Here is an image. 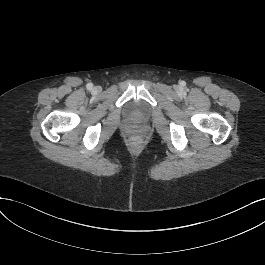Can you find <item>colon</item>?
I'll list each match as a JSON object with an SVG mask.
<instances>
[{"mask_svg": "<svg viewBox=\"0 0 265 265\" xmlns=\"http://www.w3.org/2000/svg\"><path fill=\"white\" fill-rule=\"evenodd\" d=\"M131 137H132L133 140H137V139H139L140 134H139V132H137V131H133V132L131 133Z\"/></svg>", "mask_w": 265, "mask_h": 265, "instance_id": "5ec220e1", "label": "colon"}]
</instances>
